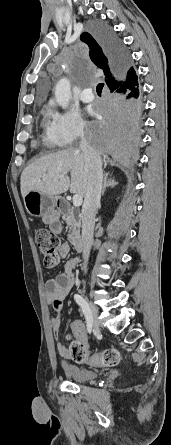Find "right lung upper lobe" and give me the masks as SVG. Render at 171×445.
Returning a JSON list of instances; mask_svg holds the SVG:
<instances>
[{"mask_svg":"<svg viewBox=\"0 0 171 445\" xmlns=\"http://www.w3.org/2000/svg\"><path fill=\"white\" fill-rule=\"evenodd\" d=\"M81 40L85 42L89 49V55L92 62L100 69L103 70L104 75L106 76V84L109 88H115L121 79L120 71L116 68L108 53L99 38V35L96 33L95 38L89 33H82ZM130 77H136V72L131 66V70L129 72Z\"/></svg>","mask_w":171,"mask_h":445,"instance_id":"1","label":"right lung upper lobe"}]
</instances>
